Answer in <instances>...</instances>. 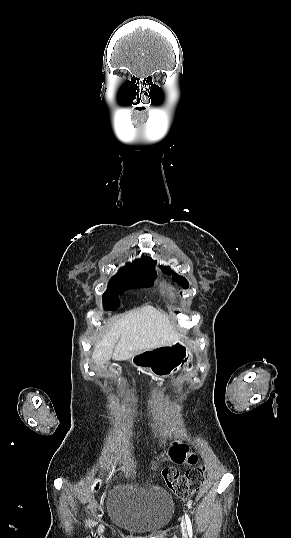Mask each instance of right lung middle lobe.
Here are the masks:
<instances>
[{
  "label": "right lung middle lobe",
  "mask_w": 291,
  "mask_h": 538,
  "mask_svg": "<svg viewBox=\"0 0 291 538\" xmlns=\"http://www.w3.org/2000/svg\"><path fill=\"white\" fill-rule=\"evenodd\" d=\"M154 264L153 262L133 261L120 268L108 283V288L102 296L104 308L107 310L117 309L120 305L118 295L126 289L151 286L156 278Z\"/></svg>",
  "instance_id": "dd1d6c3e"
}]
</instances>
